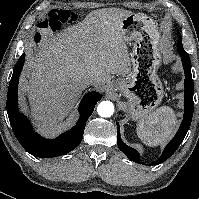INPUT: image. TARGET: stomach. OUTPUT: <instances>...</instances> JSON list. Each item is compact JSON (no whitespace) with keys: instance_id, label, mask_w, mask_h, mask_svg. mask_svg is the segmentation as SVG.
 I'll use <instances>...</instances> for the list:
<instances>
[{"instance_id":"obj_1","label":"stomach","mask_w":199,"mask_h":199,"mask_svg":"<svg viewBox=\"0 0 199 199\" xmlns=\"http://www.w3.org/2000/svg\"><path fill=\"white\" fill-rule=\"evenodd\" d=\"M126 43L133 45L131 71L115 87L127 101L124 109L133 120L152 113L164 97L157 69L161 63V35L154 21L142 13H131L121 23Z\"/></svg>"}]
</instances>
